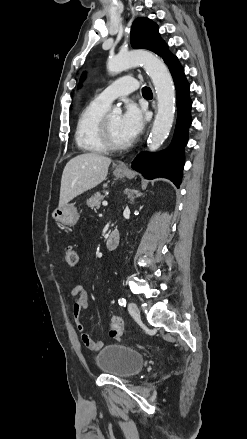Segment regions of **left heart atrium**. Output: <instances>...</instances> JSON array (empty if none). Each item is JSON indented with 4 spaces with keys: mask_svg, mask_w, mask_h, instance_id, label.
<instances>
[{
    "mask_svg": "<svg viewBox=\"0 0 247 439\" xmlns=\"http://www.w3.org/2000/svg\"><path fill=\"white\" fill-rule=\"evenodd\" d=\"M145 123L143 111L134 103H129L120 117V129L124 137L131 141L142 131Z\"/></svg>",
    "mask_w": 247,
    "mask_h": 439,
    "instance_id": "39dd6f15",
    "label": "left heart atrium"
}]
</instances>
